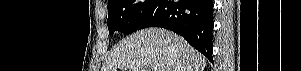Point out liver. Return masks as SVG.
<instances>
[{"instance_id": "liver-1", "label": "liver", "mask_w": 301, "mask_h": 71, "mask_svg": "<svg viewBox=\"0 0 301 71\" xmlns=\"http://www.w3.org/2000/svg\"><path fill=\"white\" fill-rule=\"evenodd\" d=\"M206 58L182 37L147 28L121 40L101 71H203Z\"/></svg>"}]
</instances>
